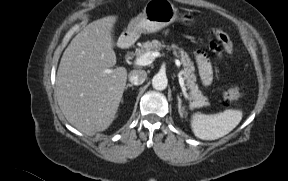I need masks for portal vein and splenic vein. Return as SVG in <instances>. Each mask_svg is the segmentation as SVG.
Segmentation results:
<instances>
[{"label": "portal vein and splenic vein", "instance_id": "18ae733b", "mask_svg": "<svg viewBox=\"0 0 288 181\" xmlns=\"http://www.w3.org/2000/svg\"><path fill=\"white\" fill-rule=\"evenodd\" d=\"M160 53L159 52H147L141 56H139L138 58H136L134 60V65L136 66H146L151 64L155 58L159 57ZM175 64L180 67L181 63L178 59H175ZM179 84L180 87L182 89L183 95L184 97L187 99L188 98V94L186 92V87L184 84V79L182 77V72L179 73Z\"/></svg>", "mask_w": 288, "mask_h": 181}]
</instances>
